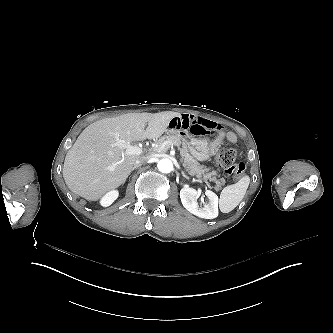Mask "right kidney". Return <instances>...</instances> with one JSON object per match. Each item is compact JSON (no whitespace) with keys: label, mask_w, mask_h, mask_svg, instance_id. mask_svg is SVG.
<instances>
[{"label":"right kidney","mask_w":333,"mask_h":333,"mask_svg":"<svg viewBox=\"0 0 333 333\" xmlns=\"http://www.w3.org/2000/svg\"><path fill=\"white\" fill-rule=\"evenodd\" d=\"M118 194L116 191L108 193L102 200L103 206H109L116 198Z\"/></svg>","instance_id":"obj_1"}]
</instances>
